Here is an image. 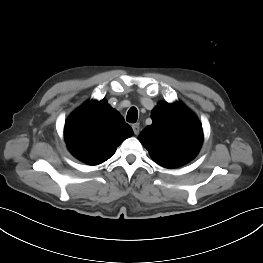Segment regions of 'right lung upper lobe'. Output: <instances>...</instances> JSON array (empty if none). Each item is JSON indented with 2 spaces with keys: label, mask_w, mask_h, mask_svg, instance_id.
Here are the masks:
<instances>
[{
  "label": "right lung upper lobe",
  "mask_w": 263,
  "mask_h": 263,
  "mask_svg": "<svg viewBox=\"0 0 263 263\" xmlns=\"http://www.w3.org/2000/svg\"><path fill=\"white\" fill-rule=\"evenodd\" d=\"M133 130L105 100L88 101L65 123L69 151L88 165H98L113 156Z\"/></svg>",
  "instance_id": "cb5924a9"
}]
</instances>
